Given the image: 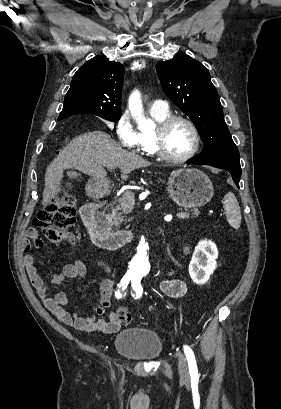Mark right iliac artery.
Instances as JSON below:
<instances>
[{
	"instance_id": "right-iliac-artery-1",
	"label": "right iliac artery",
	"mask_w": 281,
	"mask_h": 409,
	"mask_svg": "<svg viewBox=\"0 0 281 409\" xmlns=\"http://www.w3.org/2000/svg\"><path fill=\"white\" fill-rule=\"evenodd\" d=\"M130 280H131V276H129V275H125L121 279L120 283L118 284V288H117V290L115 292V297L116 298L120 299L123 296L125 297L126 292L124 290L126 289V287H127Z\"/></svg>"
}]
</instances>
